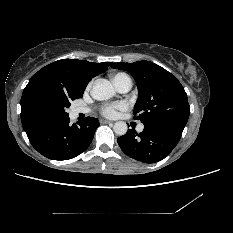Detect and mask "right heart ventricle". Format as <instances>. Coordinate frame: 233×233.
Segmentation results:
<instances>
[{"instance_id":"1","label":"right heart ventricle","mask_w":233,"mask_h":233,"mask_svg":"<svg viewBox=\"0 0 233 233\" xmlns=\"http://www.w3.org/2000/svg\"><path fill=\"white\" fill-rule=\"evenodd\" d=\"M127 77L125 74L122 73H118L116 75L113 76V82L115 84V86L121 81L122 78Z\"/></svg>"}]
</instances>
